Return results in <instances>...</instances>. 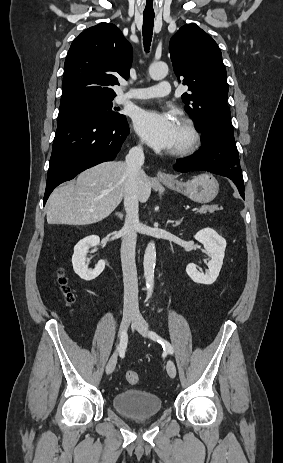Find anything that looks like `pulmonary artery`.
I'll use <instances>...</instances> for the list:
<instances>
[{
    "mask_svg": "<svg viewBox=\"0 0 283 463\" xmlns=\"http://www.w3.org/2000/svg\"><path fill=\"white\" fill-rule=\"evenodd\" d=\"M170 91V84L164 81L155 86L139 88L122 94L118 96L117 103L122 104L131 99L145 100L151 98H161L169 95Z\"/></svg>",
    "mask_w": 283,
    "mask_h": 463,
    "instance_id": "1",
    "label": "pulmonary artery"
}]
</instances>
